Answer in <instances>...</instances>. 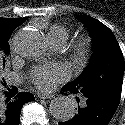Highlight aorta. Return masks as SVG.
<instances>
[{"mask_svg": "<svg viewBox=\"0 0 125 125\" xmlns=\"http://www.w3.org/2000/svg\"><path fill=\"white\" fill-rule=\"evenodd\" d=\"M17 50L23 56L40 57L47 50L46 38L38 30L24 32L19 37ZM49 110L55 119L67 121L75 115L76 106L70 98L62 96L51 101Z\"/></svg>", "mask_w": 125, "mask_h": 125, "instance_id": "aorta-1", "label": "aorta"}]
</instances>
